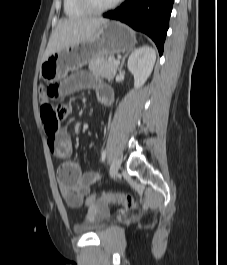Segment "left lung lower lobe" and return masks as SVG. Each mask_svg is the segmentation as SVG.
Returning <instances> with one entry per match:
<instances>
[{
    "mask_svg": "<svg viewBox=\"0 0 227 265\" xmlns=\"http://www.w3.org/2000/svg\"><path fill=\"white\" fill-rule=\"evenodd\" d=\"M173 2L174 0H126L120 7L103 16L124 22L147 34L162 55Z\"/></svg>",
    "mask_w": 227,
    "mask_h": 265,
    "instance_id": "0a47b994",
    "label": "left lung lower lobe"
}]
</instances>
